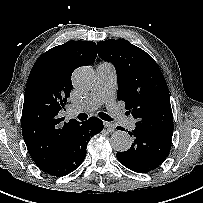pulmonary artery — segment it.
Here are the masks:
<instances>
[{
  "label": "pulmonary artery",
  "instance_id": "1",
  "mask_svg": "<svg viewBox=\"0 0 203 203\" xmlns=\"http://www.w3.org/2000/svg\"><path fill=\"white\" fill-rule=\"evenodd\" d=\"M97 82L93 88L88 101L82 106L71 108V113L81 111H93L103 104H106L109 111L115 115L126 128L133 130L136 127L134 118L123 117L114 102L116 90V71L110 63H100L96 68Z\"/></svg>",
  "mask_w": 203,
  "mask_h": 203
}]
</instances>
